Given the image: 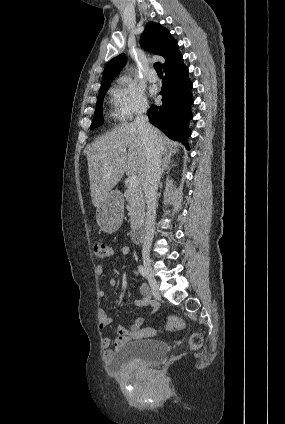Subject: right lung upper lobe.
I'll use <instances>...</instances> for the list:
<instances>
[{
	"label": "right lung upper lobe",
	"mask_w": 285,
	"mask_h": 424,
	"mask_svg": "<svg viewBox=\"0 0 285 424\" xmlns=\"http://www.w3.org/2000/svg\"><path fill=\"white\" fill-rule=\"evenodd\" d=\"M140 44L154 54L164 57L163 69L176 64L182 59L178 50V43L170 32L155 22H149L140 38ZM126 62L125 54H120L111 59L103 73L101 87L110 86V83L118 75Z\"/></svg>",
	"instance_id": "1"
}]
</instances>
